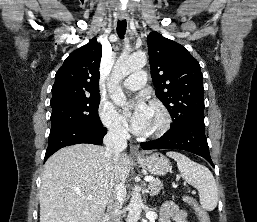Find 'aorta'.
<instances>
[{
	"mask_svg": "<svg viewBox=\"0 0 257 222\" xmlns=\"http://www.w3.org/2000/svg\"><path fill=\"white\" fill-rule=\"evenodd\" d=\"M147 57L143 52H135L133 54H122L116 61L111 80L108 83V91L110 93L111 100L118 106L128 109V103L126 102V96L120 86V82L127 75L135 70H139L146 65ZM143 208V201L140 191L134 190L129 206L127 222H137L140 218Z\"/></svg>",
	"mask_w": 257,
	"mask_h": 222,
	"instance_id": "obj_1",
	"label": "aorta"
}]
</instances>
